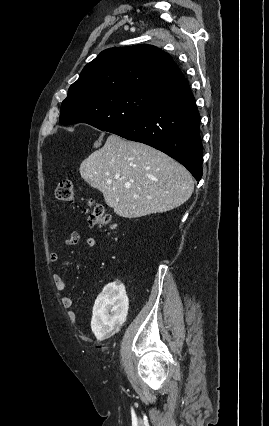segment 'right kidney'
<instances>
[{
	"label": "right kidney",
	"mask_w": 269,
	"mask_h": 426,
	"mask_svg": "<svg viewBox=\"0 0 269 426\" xmlns=\"http://www.w3.org/2000/svg\"><path fill=\"white\" fill-rule=\"evenodd\" d=\"M128 309L122 281H111L98 296L93 307L91 328L98 340H104L118 326Z\"/></svg>",
	"instance_id": "ca27d5eb"
}]
</instances>
